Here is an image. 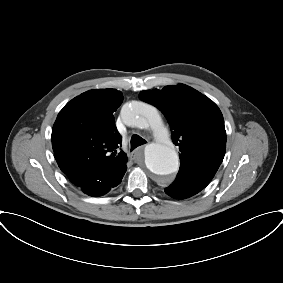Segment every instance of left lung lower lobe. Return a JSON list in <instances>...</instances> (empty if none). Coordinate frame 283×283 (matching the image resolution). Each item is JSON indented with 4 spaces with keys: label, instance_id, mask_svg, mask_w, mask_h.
Wrapping results in <instances>:
<instances>
[{
    "label": "left lung lower lobe",
    "instance_id": "obj_1",
    "mask_svg": "<svg viewBox=\"0 0 283 283\" xmlns=\"http://www.w3.org/2000/svg\"><path fill=\"white\" fill-rule=\"evenodd\" d=\"M205 187L206 185L193 182L185 177H177L175 182L165 189V192L173 198L184 199L197 194Z\"/></svg>",
    "mask_w": 283,
    "mask_h": 283
}]
</instances>
